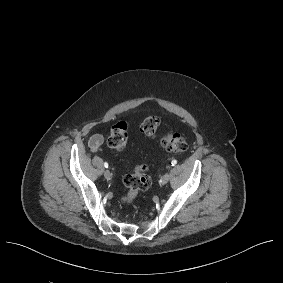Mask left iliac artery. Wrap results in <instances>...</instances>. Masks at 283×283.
<instances>
[{"mask_svg":"<svg viewBox=\"0 0 283 283\" xmlns=\"http://www.w3.org/2000/svg\"><path fill=\"white\" fill-rule=\"evenodd\" d=\"M171 164H172V166H175L177 164V161L176 160H172Z\"/></svg>","mask_w":283,"mask_h":283,"instance_id":"1","label":"left iliac artery"}]
</instances>
